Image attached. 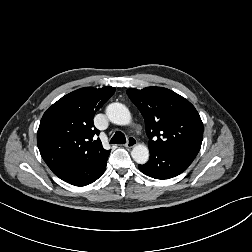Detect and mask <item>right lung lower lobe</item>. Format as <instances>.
<instances>
[{
  "mask_svg": "<svg viewBox=\"0 0 252 252\" xmlns=\"http://www.w3.org/2000/svg\"><path fill=\"white\" fill-rule=\"evenodd\" d=\"M107 158L80 162L55 174L69 184L85 186L96 181L104 173Z\"/></svg>",
  "mask_w": 252,
  "mask_h": 252,
  "instance_id": "1",
  "label": "right lung lower lobe"
}]
</instances>
